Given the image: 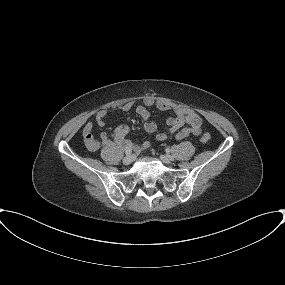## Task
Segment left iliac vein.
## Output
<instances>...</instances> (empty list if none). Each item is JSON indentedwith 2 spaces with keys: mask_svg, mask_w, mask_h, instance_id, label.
<instances>
[{
  "mask_svg": "<svg viewBox=\"0 0 285 285\" xmlns=\"http://www.w3.org/2000/svg\"><path fill=\"white\" fill-rule=\"evenodd\" d=\"M160 158L164 163H171L174 160L173 156L171 155H161Z\"/></svg>",
  "mask_w": 285,
  "mask_h": 285,
  "instance_id": "4c4485c4",
  "label": "left iliac vein"
}]
</instances>
